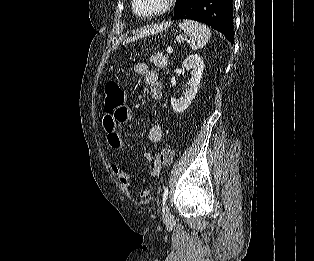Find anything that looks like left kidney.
Instances as JSON below:
<instances>
[{
	"label": "left kidney",
	"instance_id": "5707ae66",
	"mask_svg": "<svg viewBox=\"0 0 314 261\" xmlns=\"http://www.w3.org/2000/svg\"><path fill=\"white\" fill-rule=\"evenodd\" d=\"M183 67L191 71L192 77L189 80L190 88L185 92L184 97L180 100L176 98L171 99L173 110L177 113L186 110L195 98L203 75L204 61L199 55L192 54L183 61Z\"/></svg>",
	"mask_w": 314,
	"mask_h": 261
}]
</instances>
